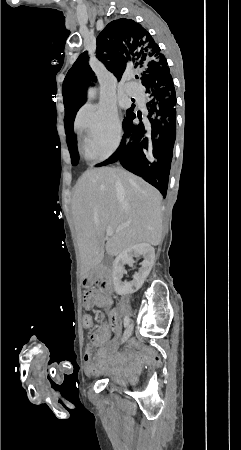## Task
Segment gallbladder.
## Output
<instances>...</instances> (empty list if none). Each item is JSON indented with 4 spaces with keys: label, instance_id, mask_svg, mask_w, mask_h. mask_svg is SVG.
<instances>
[{
    "label": "gallbladder",
    "instance_id": "bac80fb5",
    "mask_svg": "<svg viewBox=\"0 0 241 450\" xmlns=\"http://www.w3.org/2000/svg\"><path fill=\"white\" fill-rule=\"evenodd\" d=\"M102 264H104V266H109L110 260H109V256H107V254H105Z\"/></svg>",
    "mask_w": 241,
    "mask_h": 450
}]
</instances>
